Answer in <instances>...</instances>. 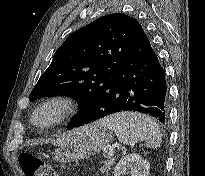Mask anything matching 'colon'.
Masks as SVG:
<instances>
[{
	"label": "colon",
	"instance_id": "5ec220e1",
	"mask_svg": "<svg viewBox=\"0 0 205 176\" xmlns=\"http://www.w3.org/2000/svg\"><path fill=\"white\" fill-rule=\"evenodd\" d=\"M18 164L24 176H55L49 165L31 153L19 154Z\"/></svg>",
	"mask_w": 205,
	"mask_h": 176
}]
</instances>
